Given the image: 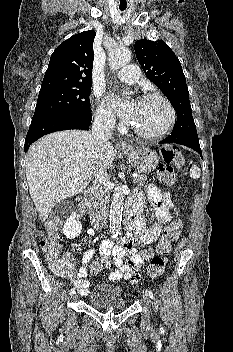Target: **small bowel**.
Instances as JSON below:
<instances>
[{"label":"small bowel","instance_id":"small-bowel-1","mask_svg":"<svg viewBox=\"0 0 233 352\" xmlns=\"http://www.w3.org/2000/svg\"><path fill=\"white\" fill-rule=\"evenodd\" d=\"M147 195L154 208L157 218L156 223L151 227H146L145 218L140 208L142 197L139 196L135 200L137 209L133 216L126 220L125 234L120 242L114 243L111 240H104L100 244V254L111 256L116 266V269L108 275L111 281L126 279L131 284H135L140 280V271L144 262L151 260L154 256V249L151 244L158 239L162 227L170 222L173 214L176 213L169 193L151 185L148 187ZM91 235L92 231H89L88 236ZM94 255V249L86 250L80 261L82 265L79 268H77V260L74 258L68 256L65 259L71 270L63 276L70 280L81 296L89 294L90 282L86 278L89 272L88 266Z\"/></svg>","mask_w":233,"mask_h":352}]
</instances>
